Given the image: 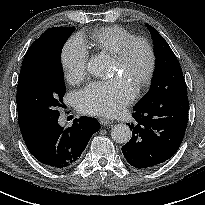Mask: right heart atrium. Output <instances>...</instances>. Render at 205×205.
<instances>
[{
    "mask_svg": "<svg viewBox=\"0 0 205 205\" xmlns=\"http://www.w3.org/2000/svg\"><path fill=\"white\" fill-rule=\"evenodd\" d=\"M89 53L79 36H72L61 51V65L69 83L77 84L87 75Z\"/></svg>",
    "mask_w": 205,
    "mask_h": 205,
    "instance_id": "right-heart-atrium-1",
    "label": "right heart atrium"
}]
</instances>
